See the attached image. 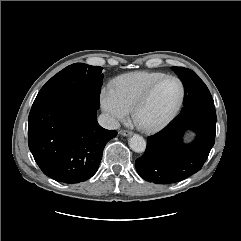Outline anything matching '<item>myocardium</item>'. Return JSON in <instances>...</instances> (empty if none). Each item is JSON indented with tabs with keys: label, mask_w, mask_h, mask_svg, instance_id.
Masks as SVG:
<instances>
[{
	"label": "myocardium",
	"mask_w": 241,
	"mask_h": 241,
	"mask_svg": "<svg viewBox=\"0 0 241 241\" xmlns=\"http://www.w3.org/2000/svg\"><path fill=\"white\" fill-rule=\"evenodd\" d=\"M167 79H173V80L177 81L180 86V96H179V99H178L176 105L163 119L159 120L158 122H155L152 124L140 123L137 119V114H138L139 110L148 102V100L152 96L155 89L163 81H165ZM184 98H185V86H184V83L182 82V80L175 75H165V76L159 78L158 80H156L155 82H153L143 92V94L137 99V101L134 103V105L131 108L132 119L135 122V124L144 131H147V132L157 131V130L163 128L164 126H166L169 122H171L175 118V116L178 114V112L183 104Z\"/></svg>",
	"instance_id": "obj_1"
}]
</instances>
